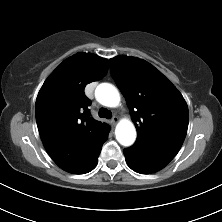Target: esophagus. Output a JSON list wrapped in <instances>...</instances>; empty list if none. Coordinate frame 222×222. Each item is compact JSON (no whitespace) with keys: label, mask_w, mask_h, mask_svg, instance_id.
Listing matches in <instances>:
<instances>
[{"label":"esophagus","mask_w":222,"mask_h":222,"mask_svg":"<svg viewBox=\"0 0 222 222\" xmlns=\"http://www.w3.org/2000/svg\"><path fill=\"white\" fill-rule=\"evenodd\" d=\"M111 121H112L113 124H116L118 122V117L113 116Z\"/></svg>","instance_id":"1"}]
</instances>
